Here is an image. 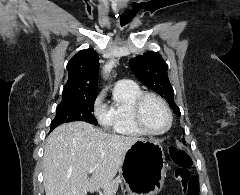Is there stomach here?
<instances>
[{
  "mask_svg": "<svg viewBox=\"0 0 240 195\" xmlns=\"http://www.w3.org/2000/svg\"><path fill=\"white\" fill-rule=\"evenodd\" d=\"M165 155L157 139L135 141L120 167L127 195H156L164 185Z\"/></svg>",
  "mask_w": 240,
  "mask_h": 195,
  "instance_id": "stomach-1",
  "label": "stomach"
}]
</instances>
